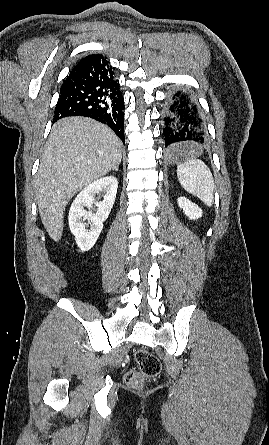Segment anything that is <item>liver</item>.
<instances>
[{"label":"liver","mask_w":269,"mask_h":445,"mask_svg":"<svg viewBox=\"0 0 269 445\" xmlns=\"http://www.w3.org/2000/svg\"><path fill=\"white\" fill-rule=\"evenodd\" d=\"M121 159V141L104 124L68 117L53 125L35 188L42 224L54 241L62 236L63 214L71 198L114 170Z\"/></svg>","instance_id":"liver-1"}]
</instances>
